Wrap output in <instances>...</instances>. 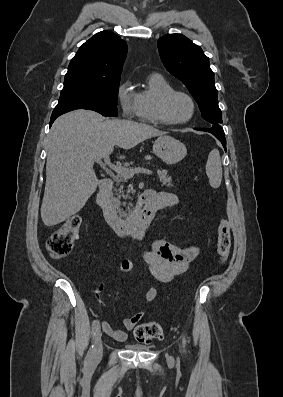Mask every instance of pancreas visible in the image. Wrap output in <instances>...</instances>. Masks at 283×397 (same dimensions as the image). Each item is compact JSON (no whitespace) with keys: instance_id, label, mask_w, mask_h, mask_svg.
Listing matches in <instances>:
<instances>
[{"instance_id":"1","label":"pancreas","mask_w":283,"mask_h":397,"mask_svg":"<svg viewBox=\"0 0 283 397\" xmlns=\"http://www.w3.org/2000/svg\"><path fill=\"white\" fill-rule=\"evenodd\" d=\"M157 175H158V179L161 183V186L173 187L172 179L168 175L167 170L158 169ZM115 181H116V187L114 188V190H115L116 197L114 198V202L118 205L120 214L123 216H126L127 215L126 211H124L123 208H121V206H124V207L127 205L132 206V204L131 203L127 204L126 202H121V199H127V198L130 199L131 197L129 194L133 192V189L131 187H129L128 190L126 191V194L124 193V183H126L128 181V178L117 175Z\"/></svg>"}]
</instances>
